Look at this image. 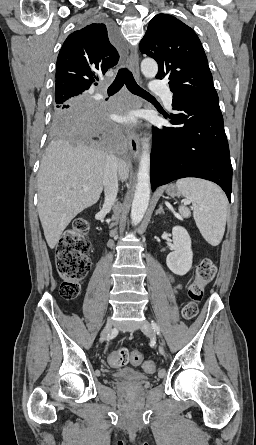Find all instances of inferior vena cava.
I'll list each match as a JSON object with an SVG mask.
<instances>
[{
  "label": "inferior vena cava",
  "mask_w": 256,
  "mask_h": 445,
  "mask_svg": "<svg viewBox=\"0 0 256 445\" xmlns=\"http://www.w3.org/2000/svg\"><path fill=\"white\" fill-rule=\"evenodd\" d=\"M118 159L114 155H108L106 158L104 171V206L111 208L116 202L118 192Z\"/></svg>",
  "instance_id": "1"
}]
</instances>
